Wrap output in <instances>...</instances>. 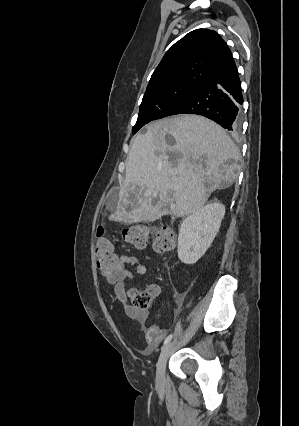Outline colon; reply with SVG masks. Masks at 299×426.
<instances>
[{"instance_id":"1","label":"colon","mask_w":299,"mask_h":426,"mask_svg":"<svg viewBox=\"0 0 299 426\" xmlns=\"http://www.w3.org/2000/svg\"><path fill=\"white\" fill-rule=\"evenodd\" d=\"M150 236L153 238V249L157 253L165 254L174 250L175 236L169 227L131 226L122 231L124 241L136 248H144ZM96 255L98 264L106 271L115 273L121 269L114 246L105 236L102 225H99L96 230ZM131 301L137 311H146L152 305L153 296L150 292L134 291L131 293Z\"/></svg>"}]
</instances>
